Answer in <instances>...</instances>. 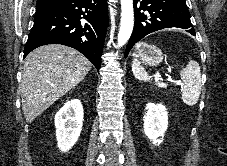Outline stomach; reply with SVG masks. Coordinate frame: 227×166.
Segmentation results:
<instances>
[{"mask_svg":"<svg viewBox=\"0 0 227 166\" xmlns=\"http://www.w3.org/2000/svg\"><path fill=\"white\" fill-rule=\"evenodd\" d=\"M135 54L136 57L142 61V63L150 66L158 65L164 56L160 48L145 42H140L137 44Z\"/></svg>","mask_w":227,"mask_h":166,"instance_id":"0dacf381","label":"stomach"}]
</instances>
